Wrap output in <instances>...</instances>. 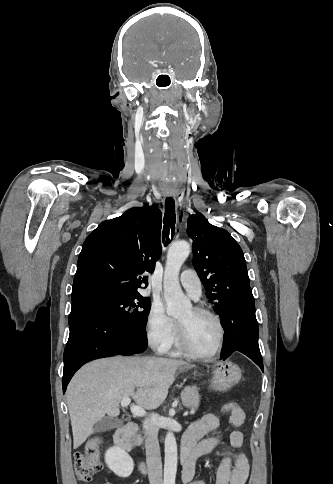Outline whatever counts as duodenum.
<instances>
[{"instance_id":"duodenum-1","label":"duodenum","mask_w":333,"mask_h":484,"mask_svg":"<svg viewBox=\"0 0 333 484\" xmlns=\"http://www.w3.org/2000/svg\"><path fill=\"white\" fill-rule=\"evenodd\" d=\"M137 431V425L134 422H129L124 426L120 427L115 435L114 441L118 448L126 451H131L134 447V435ZM194 456V445L191 442L182 440L180 448V459L183 465V469L186 468L192 461ZM140 470L145 472V468L141 465Z\"/></svg>"}]
</instances>
